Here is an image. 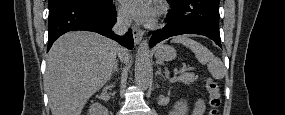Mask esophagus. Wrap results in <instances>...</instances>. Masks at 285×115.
<instances>
[{
  "mask_svg": "<svg viewBox=\"0 0 285 115\" xmlns=\"http://www.w3.org/2000/svg\"><path fill=\"white\" fill-rule=\"evenodd\" d=\"M132 32H133V38H134L135 44H139L143 38L144 31L136 26H133Z\"/></svg>",
  "mask_w": 285,
  "mask_h": 115,
  "instance_id": "obj_1",
  "label": "esophagus"
}]
</instances>
